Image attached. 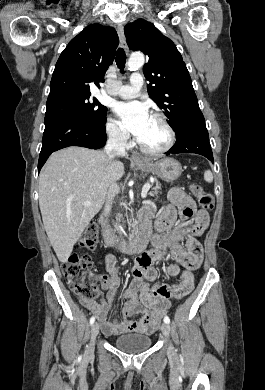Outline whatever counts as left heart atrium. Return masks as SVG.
Wrapping results in <instances>:
<instances>
[{
  "instance_id": "obj_1",
  "label": "left heart atrium",
  "mask_w": 265,
  "mask_h": 390,
  "mask_svg": "<svg viewBox=\"0 0 265 390\" xmlns=\"http://www.w3.org/2000/svg\"><path fill=\"white\" fill-rule=\"evenodd\" d=\"M115 112L123 128L137 138L143 134L151 117L147 107L137 101L118 103Z\"/></svg>"
}]
</instances>
